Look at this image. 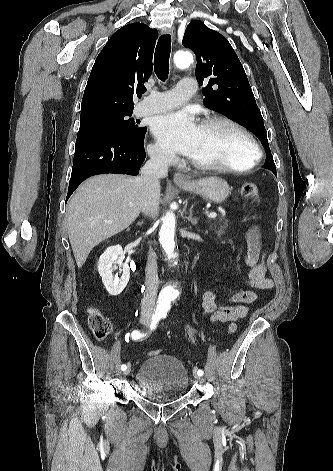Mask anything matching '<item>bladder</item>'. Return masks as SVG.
I'll return each mask as SVG.
<instances>
[{
	"mask_svg": "<svg viewBox=\"0 0 333 471\" xmlns=\"http://www.w3.org/2000/svg\"><path fill=\"white\" fill-rule=\"evenodd\" d=\"M140 395L153 403H172L182 398L189 387V374L183 362L171 354L152 355L136 373Z\"/></svg>",
	"mask_w": 333,
	"mask_h": 471,
	"instance_id": "bladder-1",
	"label": "bladder"
}]
</instances>
